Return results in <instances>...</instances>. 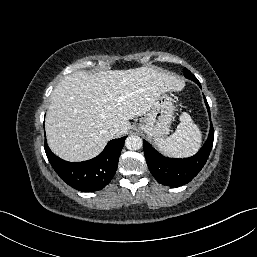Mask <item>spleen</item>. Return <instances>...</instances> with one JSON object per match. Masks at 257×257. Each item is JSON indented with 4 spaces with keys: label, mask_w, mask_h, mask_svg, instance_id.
Masks as SVG:
<instances>
[{
    "label": "spleen",
    "mask_w": 257,
    "mask_h": 257,
    "mask_svg": "<svg viewBox=\"0 0 257 257\" xmlns=\"http://www.w3.org/2000/svg\"><path fill=\"white\" fill-rule=\"evenodd\" d=\"M202 132L191 116L184 112L176 131L169 137L155 139V144L165 155L188 157L195 154L201 146Z\"/></svg>",
    "instance_id": "spleen-1"
}]
</instances>
